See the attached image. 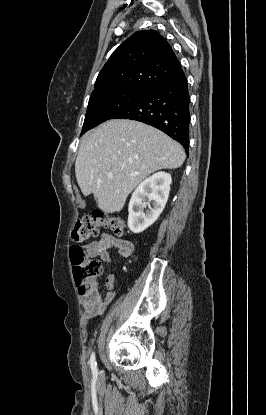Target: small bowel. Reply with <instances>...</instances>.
I'll return each mask as SVG.
<instances>
[{"instance_id": "c3829d8e", "label": "small bowel", "mask_w": 266, "mask_h": 415, "mask_svg": "<svg viewBox=\"0 0 266 415\" xmlns=\"http://www.w3.org/2000/svg\"><path fill=\"white\" fill-rule=\"evenodd\" d=\"M86 249L90 256H98L103 263L110 264L113 261L110 250H115L121 257L128 258L134 250V245L129 240L118 238L109 233H103L99 240L87 244ZM106 285L109 291L104 297L96 283L86 291L79 289L82 308L88 318H94L103 314L108 305L114 300L113 275L108 276Z\"/></svg>"}]
</instances>
